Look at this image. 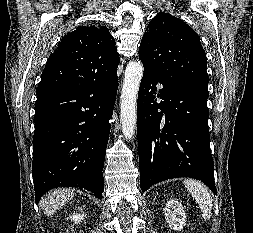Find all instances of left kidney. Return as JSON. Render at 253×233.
Returning <instances> with one entry per match:
<instances>
[{"instance_id":"1","label":"left kidney","mask_w":253,"mask_h":233,"mask_svg":"<svg viewBox=\"0 0 253 233\" xmlns=\"http://www.w3.org/2000/svg\"><path fill=\"white\" fill-rule=\"evenodd\" d=\"M165 220L173 230L180 231L186 224L183 206L177 200H169L164 210Z\"/></svg>"}]
</instances>
